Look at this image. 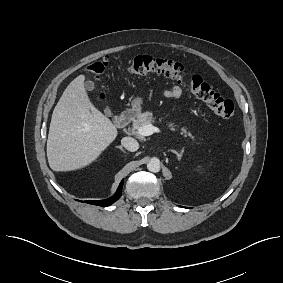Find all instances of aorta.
<instances>
[{
    "instance_id": "1",
    "label": "aorta",
    "mask_w": 283,
    "mask_h": 283,
    "mask_svg": "<svg viewBox=\"0 0 283 283\" xmlns=\"http://www.w3.org/2000/svg\"><path fill=\"white\" fill-rule=\"evenodd\" d=\"M160 168V160L156 157L152 158L147 164V169L154 173L159 172Z\"/></svg>"
}]
</instances>
